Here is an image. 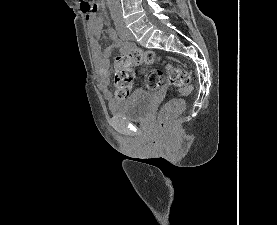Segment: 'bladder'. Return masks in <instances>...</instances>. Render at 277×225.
I'll list each match as a JSON object with an SVG mask.
<instances>
[{
  "label": "bladder",
  "mask_w": 277,
  "mask_h": 225,
  "mask_svg": "<svg viewBox=\"0 0 277 225\" xmlns=\"http://www.w3.org/2000/svg\"><path fill=\"white\" fill-rule=\"evenodd\" d=\"M153 108L152 93L144 90H134L127 98L108 105L111 115L120 116L127 120H145Z\"/></svg>",
  "instance_id": "obj_1"
}]
</instances>
